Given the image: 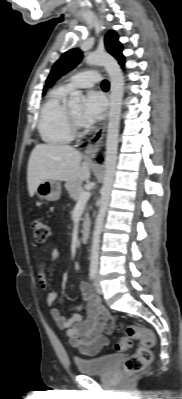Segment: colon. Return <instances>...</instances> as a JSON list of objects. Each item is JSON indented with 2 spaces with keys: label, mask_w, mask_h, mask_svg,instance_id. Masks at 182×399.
<instances>
[{
  "label": "colon",
  "mask_w": 182,
  "mask_h": 399,
  "mask_svg": "<svg viewBox=\"0 0 182 399\" xmlns=\"http://www.w3.org/2000/svg\"><path fill=\"white\" fill-rule=\"evenodd\" d=\"M30 228L33 240L38 243L45 242L50 234L49 224L41 217H32ZM132 340H138L140 346L124 363V372L129 375L142 371L151 362L152 348L156 342L155 335L150 329L138 325H128L124 336L116 342L115 349L117 351L129 349Z\"/></svg>",
  "instance_id": "colon-1"
}]
</instances>
